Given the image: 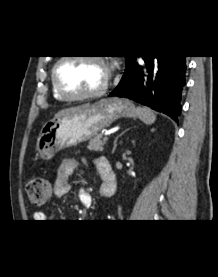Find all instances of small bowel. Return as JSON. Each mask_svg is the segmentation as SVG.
Returning a JSON list of instances; mask_svg holds the SVG:
<instances>
[{
	"label": "small bowel",
	"instance_id": "obj_1",
	"mask_svg": "<svg viewBox=\"0 0 218 277\" xmlns=\"http://www.w3.org/2000/svg\"><path fill=\"white\" fill-rule=\"evenodd\" d=\"M98 160H99V158L95 160L94 165H95V168L102 180L101 170L98 167ZM78 167H79L78 161L73 158H65L60 162L57 172H56V178H55V183H54V193L56 196L62 197L69 193V191L71 189L70 178H71L73 172ZM110 167H111V164H110ZM111 172L114 177V180H111L107 183L105 193H102V191L100 189V193L103 196L104 195H112L114 193L115 176H114L112 167H111ZM78 196H79V200L83 206L90 207L92 205V202H93L92 196L87 190L81 188L79 190ZM34 219L36 220L35 222H46L47 220L54 219V215L46 214L44 212H35Z\"/></svg>",
	"mask_w": 218,
	"mask_h": 277
}]
</instances>
